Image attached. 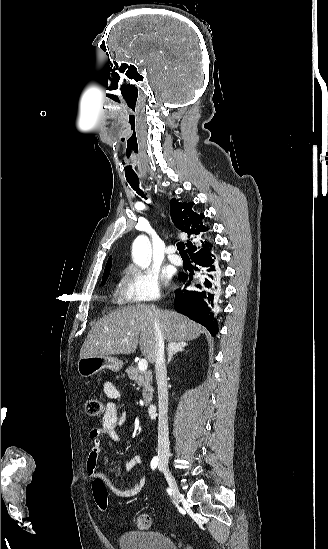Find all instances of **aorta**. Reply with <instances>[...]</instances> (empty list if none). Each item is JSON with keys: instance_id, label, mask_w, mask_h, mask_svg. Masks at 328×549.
<instances>
[{"instance_id": "1", "label": "aorta", "mask_w": 328, "mask_h": 549, "mask_svg": "<svg viewBox=\"0 0 328 549\" xmlns=\"http://www.w3.org/2000/svg\"><path fill=\"white\" fill-rule=\"evenodd\" d=\"M148 239L145 236H139L133 244L134 261L141 267H145L148 262Z\"/></svg>"}]
</instances>
